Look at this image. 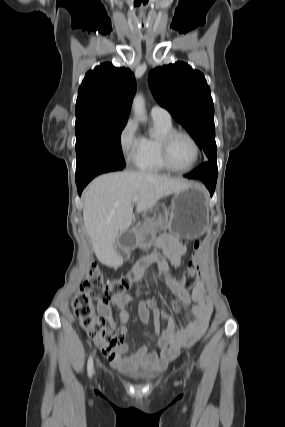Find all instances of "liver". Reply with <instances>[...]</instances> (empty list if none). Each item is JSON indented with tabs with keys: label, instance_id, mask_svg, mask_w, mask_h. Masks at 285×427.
<instances>
[{
	"label": "liver",
	"instance_id": "liver-1",
	"mask_svg": "<svg viewBox=\"0 0 285 427\" xmlns=\"http://www.w3.org/2000/svg\"><path fill=\"white\" fill-rule=\"evenodd\" d=\"M190 182L149 172L125 171L95 178L84 191L83 217L98 260L116 264L114 242L133 221L132 199L139 197L137 212H143L170 194L187 189Z\"/></svg>",
	"mask_w": 285,
	"mask_h": 427
}]
</instances>
